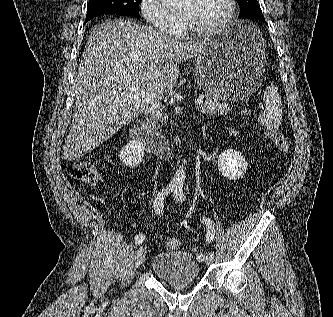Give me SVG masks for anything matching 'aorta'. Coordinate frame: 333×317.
Returning a JSON list of instances; mask_svg holds the SVG:
<instances>
[{
  "label": "aorta",
  "instance_id": "762f6f07",
  "mask_svg": "<svg viewBox=\"0 0 333 317\" xmlns=\"http://www.w3.org/2000/svg\"><path fill=\"white\" fill-rule=\"evenodd\" d=\"M162 5L166 7H176L181 5L185 0H159ZM183 165H180L177 171L175 172V175L173 177L172 182L177 185H183L186 177V172Z\"/></svg>",
  "mask_w": 333,
  "mask_h": 317
}]
</instances>
